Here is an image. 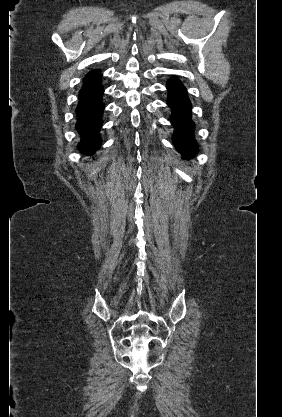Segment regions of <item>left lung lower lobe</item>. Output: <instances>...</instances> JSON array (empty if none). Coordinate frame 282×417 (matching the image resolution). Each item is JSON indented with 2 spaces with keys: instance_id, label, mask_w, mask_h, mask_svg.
<instances>
[{
  "instance_id": "left-lung-lower-lobe-1",
  "label": "left lung lower lobe",
  "mask_w": 282,
  "mask_h": 417,
  "mask_svg": "<svg viewBox=\"0 0 282 417\" xmlns=\"http://www.w3.org/2000/svg\"><path fill=\"white\" fill-rule=\"evenodd\" d=\"M167 88L169 91L167 104L172 110L171 122L175 128L173 143L183 159L193 158L198 152V143L192 135L194 122L191 119V103L186 88L176 78L168 80Z\"/></svg>"
}]
</instances>
